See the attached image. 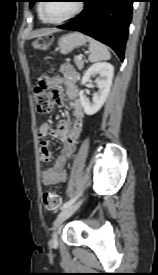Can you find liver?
<instances>
[{
  "instance_id": "1",
  "label": "liver",
  "mask_w": 158,
  "mask_h": 275,
  "mask_svg": "<svg viewBox=\"0 0 158 275\" xmlns=\"http://www.w3.org/2000/svg\"><path fill=\"white\" fill-rule=\"evenodd\" d=\"M48 33H50V31H45V32H43L41 34H38V35H45V34H48Z\"/></svg>"
}]
</instances>
